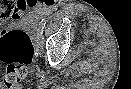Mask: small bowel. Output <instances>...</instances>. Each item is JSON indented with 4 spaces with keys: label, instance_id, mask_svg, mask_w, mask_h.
<instances>
[{
    "label": "small bowel",
    "instance_id": "obj_1",
    "mask_svg": "<svg viewBox=\"0 0 131 89\" xmlns=\"http://www.w3.org/2000/svg\"><path fill=\"white\" fill-rule=\"evenodd\" d=\"M32 13L35 17H39L43 15L44 12L41 10V8H34Z\"/></svg>",
    "mask_w": 131,
    "mask_h": 89
}]
</instances>
